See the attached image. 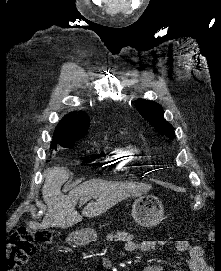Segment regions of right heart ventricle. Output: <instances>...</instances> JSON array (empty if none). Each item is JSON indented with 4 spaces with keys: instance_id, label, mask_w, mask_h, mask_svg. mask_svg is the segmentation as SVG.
Here are the masks:
<instances>
[{
    "instance_id": "1",
    "label": "right heart ventricle",
    "mask_w": 221,
    "mask_h": 271,
    "mask_svg": "<svg viewBox=\"0 0 221 271\" xmlns=\"http://www.w3.org/2000/svg\"><path fill=\"white\" fill-rule=\"evenodd\" d=\"M132 156L130 154H117V158H108V163H113L114 164H124V161H127V164H135V159L132 158L130 159ZM127 166H124V168H120L119 170L122 172H126L128 169L126 168ZM129 167V166H128Z\"/></svg>"
}]
</instances>
